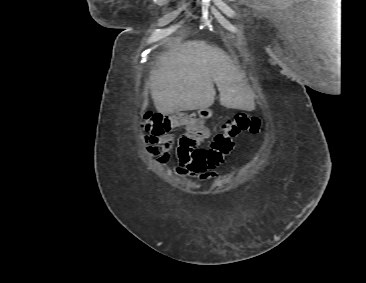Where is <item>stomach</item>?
I'll list each match as a JSON object with an SVG mask.
<instances>
[{
	"label": "stomach",
	"instance_id": "stomach-1",
	"mask_svg": "<svg viewBox=\"0 0 366 283\" xmlns=\"http://www.w3.org/2000/svg\"><path fill=\"white\" fill-rule=\"evenodd\" d=\"M198 115L200 118L208 119L212 116V111L208 108H201L198 110Z\"/></svg>",
	"mask_w": 366,
	"mask_h": 283
}]
</instances>
